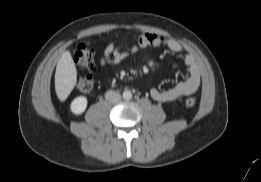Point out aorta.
Segmentation results:
<instances>
[{
    "label": "aorta",
    "instance_id": "aorta-1",
    "mask_svg": "<svg viewBox=\"0 0 261 182\" xmlns=\"http://www.w3.org/2000/svg\"><path fill=\"white\" fill-rule=\"evenodd\" d=\"M123 98H124L125 100H130V99L132 98V92L129 91V90H125V91L123 92Z\"/></svg>",
    "mask_w": 261,
    "mask_h": 182
}]
</instances>
